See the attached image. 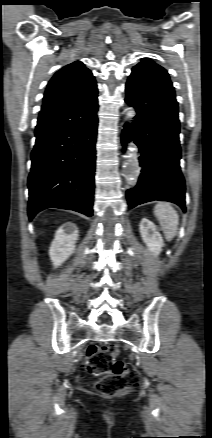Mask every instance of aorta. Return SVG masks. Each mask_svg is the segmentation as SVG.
<instances>
[{
  "mask_svg": "<svg viewBox=\"0 0 212 438\" xmlns=\"http://www.w3.org/2000/svg\"><path fill=\"white\" fill-rule=\"evenodd\" d=\"M128 116L131 117V116H132V113L129 112V113H128ZM133 150H134L133 148H130V151H131V152H132Z\"/></svg>",
  "mask_w": 212,
  "mask_h": 438,
  "instance_id": "762f6f07",
  "label": "aorta"
}]
</instances>
